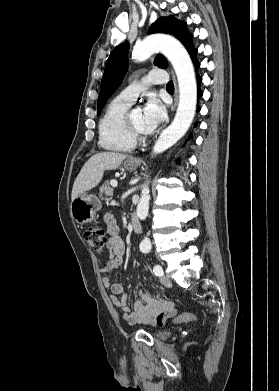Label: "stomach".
Instances as JSON below:
<instances>
[{
	"mask_svg": "<svg viewBox=\"0 0 279 391\" xmlns=\"http://www.w3.org/2000/svg\"><path fill=\"white\" fill-rule=\"evenodd\" d=\"M138 165V160L132 162L126 161L124 163V168L128 171H134ZM101 207V201L95 195L84 192L72 200L70 213L77 223L87 224L93 221L97 211H99Z\"/></svg>",
	"mask_w": 279,
	"mask_h": 391,
	"instance_id": "1",
	"label": "stomach"
}]
</instances>
